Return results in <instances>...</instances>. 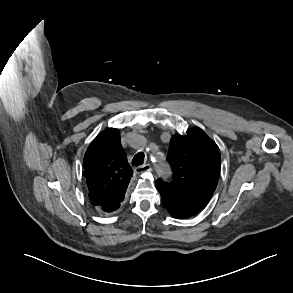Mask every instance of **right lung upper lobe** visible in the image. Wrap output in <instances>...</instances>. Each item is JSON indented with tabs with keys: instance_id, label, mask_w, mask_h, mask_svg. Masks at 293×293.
<instances>
[{
	"instance_id": "obj_1",
	"label": "right lung upper lobe",
	"mask_w": 293,
	"mask_h": 293,
	"mask_svg": "<svg viewBox=\"0 0 293 293\" xmlns=\"http://www.w3.org/2000/svg\"><path fill=\"white\" fill-rule=\"evenodd\" d=\"M83 168L93 204L106 213L117 210L133 174L117 129L108 128L94 139L85 154Z\"/></svg>"
}]
</instances>
